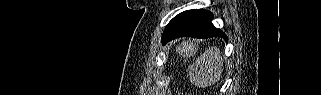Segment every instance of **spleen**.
<instances>
[{"label": "spleen", "instance_id": "3e777b00", "mask_svg": "<svg viewBox=\"0 0 321 95\" xmlns=\"http://www.w3.org/2000/svg\"><path fill=\"white\" fill-rule=\"evenodd\" d=\"M223 58L219 48L212 47L204 52L189 69L192 82L198 87L211 86L222 76Z\"/></svg>", "mask_w": 321, "mask_h": 95}]
</instances>
